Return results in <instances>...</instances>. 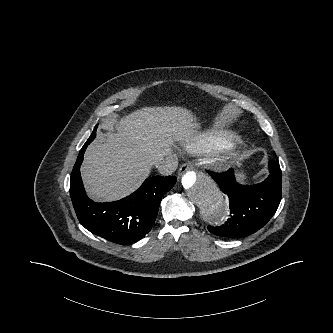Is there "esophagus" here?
I'll return each mask as SVG.
<instances>
[{
	"instance_id": "34e87169",
	"label": "esophagus",
	"mask_w": 333,
	"mask_h": 333,
	"mask_svg": "<svg viewBox=\"0 0 333 333\" xmlns=\"http://www.w3.org/2000/svg\"><path fill=\"white\" fill-rule=\"evenodd\" d=\"M190 169V165L189 164H183L179 171H178V175L182 176L186 171H188Z\"/></svg>"
}]
</instances>
